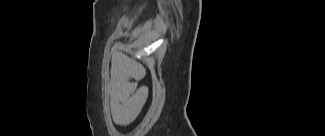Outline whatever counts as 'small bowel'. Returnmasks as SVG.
<instances>
[{
  "instance_id": "obj_1",
  "label": "small bowel",
  "mask_w": 325,
  "mask_h": 136,
  "mask_svg": "<svg viewBox=\"0 0 325 136\" xmlns=\"http://www.w3.org/2000/svg\"><path fill=\"white\" fill-rule=\"evenodd\" d=\"M144 73L121 54L113 57L110 104L113 119L118 125H127L140 112L148 98V87L138 86Z\"/></svg>"
}]
</instances>
